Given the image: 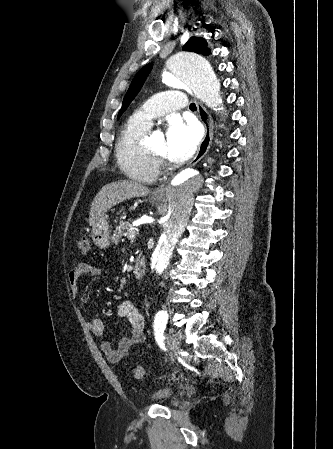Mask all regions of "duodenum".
<instances>
[{
	"mask_svg": "<svg viewBox=\"0 0 333 449\" xmlns=\"http://www.w3.org/2000/svg\"><path fill=\"white\" fill-rule=\"evenodd\" d=\"M146 265L144 260L138 259L135 261L132 267L133 274L136 278H141L145 273Z\"/></svg>",
	"mask_w": 333,
	"mask_h": 449,
	"instance_id": "duodenum-1",
	"label": "duodenum"
}]
</instances>
